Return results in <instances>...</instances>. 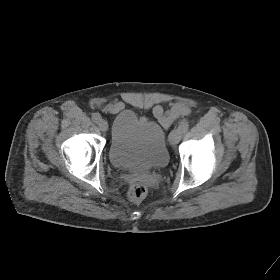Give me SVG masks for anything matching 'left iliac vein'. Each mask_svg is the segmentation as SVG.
I'll return each instance as SVG.
<instances>
[{"instance_id": "4c4485c4", "label": "left iliac vein", "mask_w": 280, "mask_h": 280, "mask_svg": "<svg viewBox=\"0 0 280 280\" xmlns=\"http://www.w3.org/2000/svg\"><path fill=\"white\" fill-rule=\"evenodd\" d=\"M182 138V132L179 129H174L169 135V143L171 145L177 144Z\"/></svg>"}]
</instances>
